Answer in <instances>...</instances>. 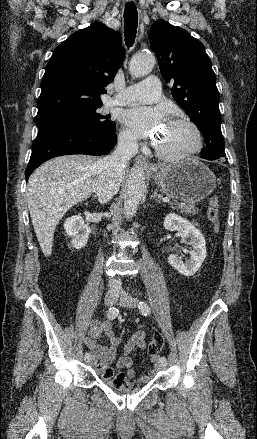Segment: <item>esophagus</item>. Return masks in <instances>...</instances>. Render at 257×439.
<instances>
[{"label": "esophagus", "instance_id": "1", "mask_svg": "<svg viewBox=\"0 0 257 439\" xmlns=\"http://www.w3.org/2000/svg\"><path fill=\"white\" fill-rule=\"evenodd\" d=\"M127 1L132 2V1H134V0H127ZM135 160H136V162H137L138 164H140L141 166H143L146 170H152V169H153V165H151V164L149 163V161H148L143 155H138V156L135 158Z\"/></svg>", "mask_w": 257, "mask_h": 439}]
</instances>
